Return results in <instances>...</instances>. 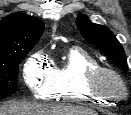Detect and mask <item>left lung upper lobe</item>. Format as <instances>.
<instances>
[{
	"instance_id": "5c2ea615",
	"label": "left lung upper lobe",
	"mask_w": 131,
	"mask_h": 115,
	"mask_svg": "<svg viewBox=\"0 0 131 115\" xmlns=\"http://www.w3.org/2000/svg\"><path fill=\"white\" fill-rule=\"evenodd\" d=\"M77 27L82 36L91 42L123 71L127 70L126 56L123 47L110 29L92 23L85 15L78 14Z\"/></svg>"
}]
</instances>
